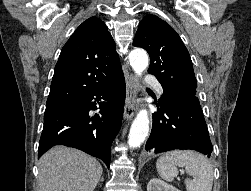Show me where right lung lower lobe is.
Instances as JSON below:
<instances>
[{
	"label": "right lung lower lobe",
	"instance_id": "obj_1",
	"mask_svg": "<svg viewBox=\"0 0 251 191\" xmlns=\"http://www.w3.org/2000/svg\"><path fill=\"white\" fill-rule=\"evenodd\" d=\"M103 99V102H99ZM125 102L123 74L81 99L44 114L38 158L54 145L80 149L102 159L109 168L110 147L121 127ZM99 104V114L91 116Z\"/></svg>",
	"mask_w": 251,
	"mask_h": 191
}]
</instances>
